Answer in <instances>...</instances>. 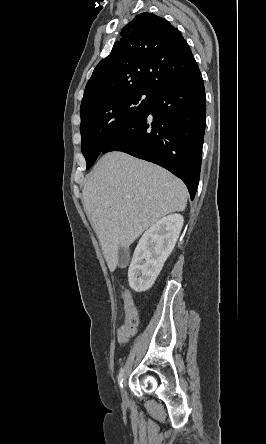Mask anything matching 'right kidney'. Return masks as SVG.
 <instances>
[{
  "label": "right kidney",
  "mask_w": 266,
  "mask_h": 444,
  "mask_svg": "<svg viewBox=\"0 0 266 444\" xmlns=\"http://www.w3.org/2000/svg\"><path fill=\"white\" fill-rule=\"evenodd\" d=\"M183 222L182 215L172 214L142 235L128 270L129 285L134 291L144 292L152 287L177 242Z\"/></svg>",
  "instance_id": "ca27d5eb"
}]
</instances>
